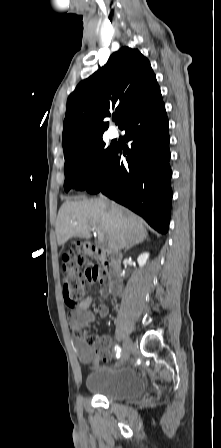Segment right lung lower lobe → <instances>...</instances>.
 <instances>
[{
    "mask_svg": "<svg viewBox=\"0 0 221 448\" xmlns=\"http://www.w3.org/2000/svg\"><path fill=\"white\" fill-rule=\"evenodd\" d=\"M131 148L116 146L106 168L87 188L103 193L166 233L172 191L168 119L161 93L125 118L121 127ZM126 156L123 164L121 156Z\"/></svg>",
    "mask_w": 221,
    "mask_h": 448,
    "instance_id": "98d812e1",
    "label": "right lung lower lobe"
}]
</instances>
